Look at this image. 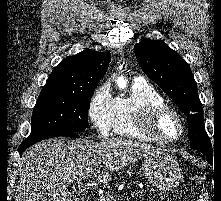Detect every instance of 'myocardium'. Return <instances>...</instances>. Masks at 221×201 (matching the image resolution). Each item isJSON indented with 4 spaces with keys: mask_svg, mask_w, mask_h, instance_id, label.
Segmentation results:
<instances>
[{
    "mask_svg": "<svg viewBox=\"0 0 221 201\" xmlns=\"http://www.w3.org/2000/svg\"><path fill=\"white\" fill-rule=\"evenodd\" d=\"M166 116L174 117L179 125V133L175 137H166L158 130V123ZM135 125L141 134L158 143L176 142L185 132V125L181 115L165 103L149 105L143 108L136 117Z\"/></svg>",
    "mask_w": 221,
    "mask_h": 201,
    "instance_id": "1",
    "label": "myocardium"
}]
</instances>
